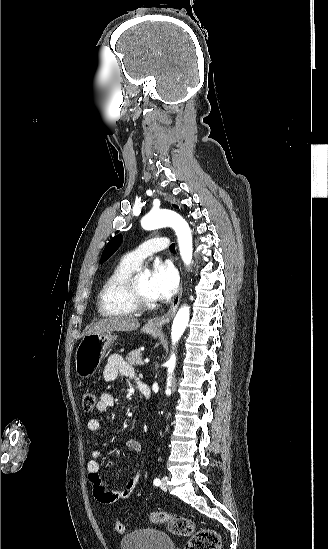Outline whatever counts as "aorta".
Returning <instances> with one entry per match:
<instances>
[{
    "instance_id": "1",
    "label": "aorta",
    "mask_w": 328,
    "mask_h": 549,
    "mask_svg": "<svg viewBox=\"0 0 328 549\" xmlns=\"http://www.w3.org/2000/svg\"><path fill=\"white\" fill-rule=\"evenodd\" d=\"M141 225L146 230H154L163 227H171L176 232L179 244V250L183 262L188 266L192 261L193 245L192 233L188 223L176 212L168 209L154 210L148 213L141 220ZM145 276L149 277L150 272L145 271ZM190 318V308L186 305L181 307L172 324L171 339L175 345L183 335ZM176 365V356L172 353L167 362L168 378L166 393H171V374Z\"/></svg>"
}]
</instances>
